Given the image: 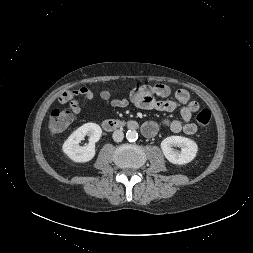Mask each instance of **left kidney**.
<instances>
[{
  "label": "left kidney",
  "instance_id": "5707ae66",
  "mask_svg": "<svg viewBox=\"0 0 253 253\" xmlns=\"http://www.w3.org/2000/svg\"><path fill=\"white\" fill-rule=\"evenodd\" d=\"M173 146L181 148L180 152L173 149ZM161 149L165 158L178 165H183L191 162L197 154V143L189 138L182 136H170L161 142Z\"/></svg>",
  "mask_w": 253,
  "mask_h": 253
}]
</instances>
